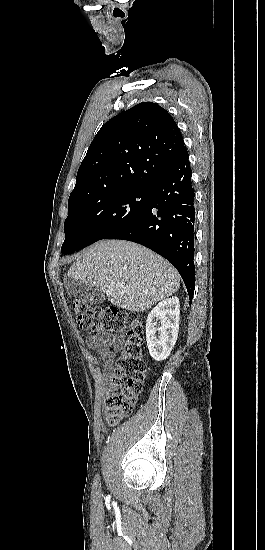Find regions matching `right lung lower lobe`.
Here are the masks:
<instances>
[{
	"label": "right lung lower lobe",
	"mask_w": 265,
	"mask_h": 550,
	"mask_svg": "<svg viewBox=\"0 0 265 550\" xmlns=\"http://www.w3.org/2000/svg\"><path fill=\"white\" fill-rule=\"evenodd\" d=\"M194 189L186 151L152 183L145 209L104 239L139 243L166 258L179 271L190 303L195 288Z\"/></svg>",
	"instance_id": "right-lung-lower-lobe-1"
}]
</instances>
